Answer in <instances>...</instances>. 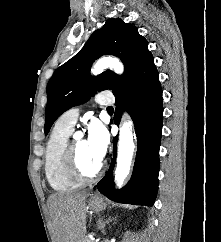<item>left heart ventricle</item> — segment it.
I'll list each match as a JSON object with an SVG mask.
<instances>
[{"label":"left heart ventricle","mask_w":221,"mask_h":242,"mask_svg":"<svg viewBox=\"0 0 221 242\" xmlns=\"http://www.w3.org/2000/svg\"><path fill=\"white\" fill-rule=\"evenodd\" d=\"M81 168L87 172H93L100 161L94 158L88 150L85 140L79 139L73 142Z\"/></svg>","instance_id":"1"}]
</instances>
